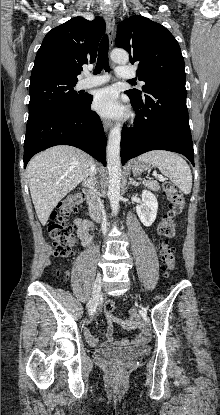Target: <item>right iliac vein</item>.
<instances>
[{"mask_svg":"<svg viewBox=\"0 0 220 415\" xmlns=\"http://www.w3.org/2000/svg\"><path fill=\"white\" fill-rule=\"evenodd\" d=\"M101 283H102V276H101V273H98L94 287H93L92 301L89 307V315H93L96 310L98 300L101 295Z\"/></svg>","mask_w":220,"mask_h":415,"instance_id":"obj_1","label":"right iliac vein"}]
</instances>
